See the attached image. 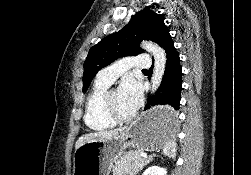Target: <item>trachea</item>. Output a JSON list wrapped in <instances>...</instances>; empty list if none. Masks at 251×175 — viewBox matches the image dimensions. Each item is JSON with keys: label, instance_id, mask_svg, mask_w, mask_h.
I'll list each match as a JSON object with an SVG mask.
<instances>
[{"label": "trachea", "instance_id": "1", "mask_svg": "<svg viewBox=\"0 0 251 175\" xmlns=\"http://www.w3.org/2000/svg\"><path fill=\"white\" fill-rule=\"evenodd\" d=\"M143 72H148V70H146L145 68L142 70Z\"/></svg>", "mask_w": 251, "mask_h": 175}]
</instances>
